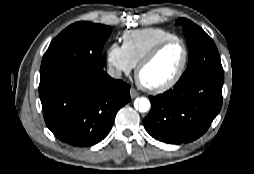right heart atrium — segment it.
Instances as JSON below:
<instances>
[{
    "instance_id": "right-heart-atrium-1",
    "label": "right heart atrium",
    "mask_w": 254,
    "mask_h": 174,
    "mask_svg": "<svg viewBox=\"0 0 254 174\" xmlns=\"http://www.w3.org/2000/svg\"><path fill=\"white\" fill-rule=\"evenodd\" d=\"M106 61L110 72L115 77L129 74L134 68L123 46L117 42H113L107 47Z\"/></svg>"
}]
</instances>
